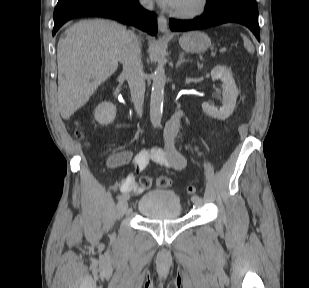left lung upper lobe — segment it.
Instances as JSON below:
<instances>
[{
	"label": "left lung upper lobe",
	"instance_id": "left-lung-upper-lobe-1",
	"mask_svg": "<svg viewBox=\"0 0 309 288\" xmlns=\"http://www.w3.org/2000/svg\"><path fill=\"white\" fill-rule=\"evenodd\" d=\"M216 0H207V3H213L215 2Z\"/></svg>",
	"mask_w": 309,
	"mask_h": 288
}]
</instances>
